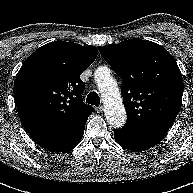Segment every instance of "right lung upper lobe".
Returning a JSON list of instances; mask_svg holds the SVG:
<instances>
[{
	"label": "right lung upper lobe",
	"instance_id": "cb5924a9",
	"mask_svg": "<svg viewBox=\"0 0 193 193\" xmlns=\"http://www.w3.org/2000/svg\"><path fill=\"white\" fill-rule=\"evenodd\" d=\"M95 46L55 41L38 48L19 70L14 98L20 120L33 139L64 132L88 119L80 74L96 59Z\"/></svg>",
	"mask_w": 193,
	"mask_h": 193
}]
</instances>
